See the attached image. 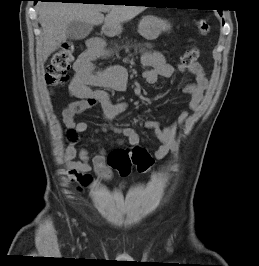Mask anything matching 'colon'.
<instances>
[{"instance_id": "colon-1", "label": "colon", "mask_w": 259, "mask_h": 266, "mask_svg": "<svg viewBox=\"0 0 259 266\" xmlns=\"http://www.w3.org/2000/svg\"><path fill=\"white\" fill-rule=\"evenodd\" d=\"M198 32L205 36L210 31V25L205 19L196 21ZM75 50L70 43H65L53 55L46 72V82L51 87L63 85L68 79V71L74 60ZM199 50L196 47L186 51L181 61L184 65H191L197 61ZM108 164L121 176L130 174L134 167L140 173H146L153 164V158L139 146L129 149H117L108 156Z\"/></svg>"}]
</instances>
